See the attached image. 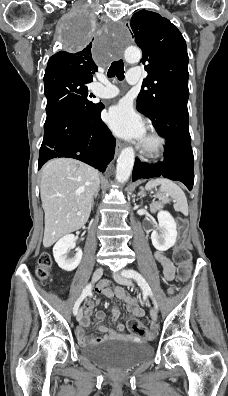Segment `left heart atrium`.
I'll use <instances>...</instances> for the list:
<instances>
[{
    "instance_id": "left-heart-atrium-1",
    "label": "left heart atrium",
    "mask_w": 228,
    "mask_h": 396,
    "mask_svg": "<svg viewBox=\"0 0 228 396\" xmlns=\"http://www.w3.org/2000/svg\"><path fill=\"white\" fill-rule=\"evenodd\" d=\"M105 121L117 136L138 140H143L145 137L144 122L127 100L112 106Z\"/></svg>"
}]
</instances>
